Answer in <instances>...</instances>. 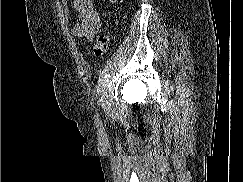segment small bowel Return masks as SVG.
Returning a JSON list of instances; mask_svg holds the SVG:
<instances>
[{"label": "small bowel", "instance_id": "1", "mask_svg": "<svg viewBox=\"0 0 243 182\" xmlns=\"http://www.w3.org/2000/svg\"><path fill=\"white\" fill-rule=\"evenodd\" d=\"M117 2L118 0H112ZM78 19L73 28V35L91 41L101 26L99 13L94 8L93 0H74Z\"/></svg>", "mask_w": 243, "mask_h": 182}]
</instances>
